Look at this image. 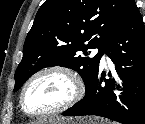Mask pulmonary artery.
Listing matches in <instances>:
<instances>
[{
	"label": "pulmonary artery",
	"instance_id": "1",
	"mask_svg": "<svg viewBox=\"0 0 145 124\" xmlns=\"http://www.w3.org/2000/svg\"><path fill=\"white\" fill-rule=\"evenodd\" d=\"M97 52V50H94V54ZM106 54H103V56H102V63H104L105 62V60H106Z\"/></svg>",
	"mask_w": 145,
	"mask_h": 124
}]
</instances>
